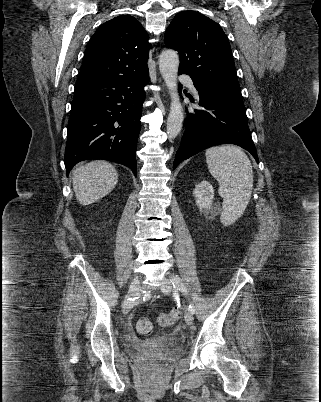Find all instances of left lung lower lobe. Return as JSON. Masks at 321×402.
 <instances>
[{
	"label": "left lung lower lobe",
	"mask_w": 321,
	"mask_h": 402,
	"mask_svg": "<svg viewBox=\"0 0 321 402\" xmlns=\"http://www.w3.org/2000/svg\"><path fill=\"white\" fill-rule=\"evenodd\" d=\"M194 86L202 109L187 113L186 129L173 169L192 155L220 144L238 145L259 162L239 84L204 82L194 83Z\"/></svg>",
	"instance_id": "1"
}]
</instances>
